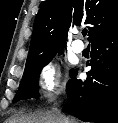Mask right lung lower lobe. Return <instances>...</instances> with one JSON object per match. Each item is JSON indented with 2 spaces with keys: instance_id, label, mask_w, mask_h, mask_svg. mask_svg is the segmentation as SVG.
Returning <instances> with one entry per match:
<instances>
[{
  "instance_id": "98d812e1",
  "label": "right lung lower lobe",
  "mask_w": 118,
  "mask_h": 123,
  "mask_svg": "<svg viewBox=\"0 0 118 123\" xmlns=\"http://www.w3.org/2000/svg\"><path fill=\"white\" fill-rule=\"evenodd\" d=\"M85 81L71 72L67 83L69 111L85 122L118 123V31L91 44Z\"/></svg>"
}]
</instances>
